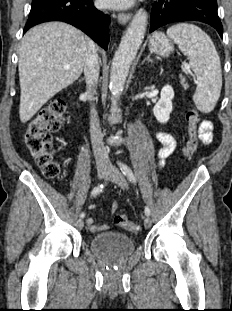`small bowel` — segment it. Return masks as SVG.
I'll return each instance as SVG.
<instances>
[{"label":"small bowel","mask_w":232,"mask_h":311,"mask_svg":"<svg viewBox=\"0 0 232 311\" xmlns=\"http://www.w3.org/2000/svg\"><path fill=\"white\" fill-rule=\"evenodd\" d=\"M213 124L209 120H204L200 126L199 136L203 143L210 144L213 140L212 136ZM155 138L162 144V147L158 150V158L160 162L163 163L164 160L170 156L176 149V140L172 134L166 131L158 130L155 132ZM117 208V203L112 205V209ZM87 225L90 228V231L97 233L108 229L107 224H95L92 218L86 220Z\"/></svg>","instance_id":"c3829d8e"}]
</instances>
